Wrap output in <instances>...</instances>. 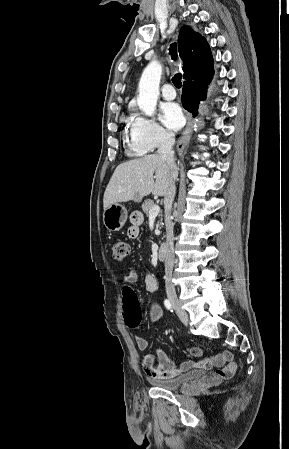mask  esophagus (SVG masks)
Wrapping results in <instances>:
<instances>
[{"instance_id": "34e87169", "label": "esophagus", "mask_w": 289, "mask_h": 449, "mask_svg": "<svg viewBox=\"0 0 289 449\" xmlns=\"http://www.w3.org/2000/svg\"><path fill=\"white\" fill-rule=\"evenodd\" d=\"M186 115H187V124H186V127L182 133V136L177 144L178 152H182L184 150L185 146L187 145L188 140H189V133L192 128V115L190 112H187Z\"/></svg>"}]
</instances>
